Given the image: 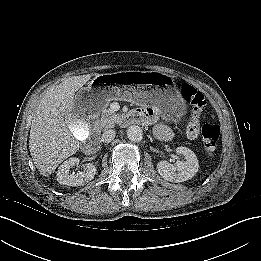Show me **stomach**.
Returning <instances> with one entry per match:
<instances>
[{
	"label": "stomach",
	"instance_id": "0dacf381",
	"mask_svg": "<svg viewBox=\"0 0 261 261\" xmlns=\"http://www.w3.org/2000/svg\"><path fill=\"white\" fill-rule=\"evenodd\" d=\"M81 90L88 95L86 112H99L111 100H128L141 105L155 104L162 113L172 116H179L185 110V102L180 98L173 78L156 71L101 74Z\"/></svg>",
	"mask_w": 261,
	"mask_h": 261
}]
</instances>
